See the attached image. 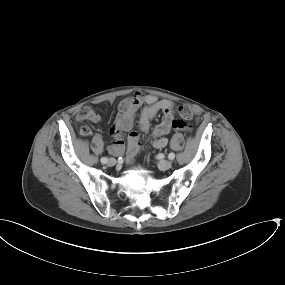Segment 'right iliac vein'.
<instances>
[{"mask_svg":"<svg viewBox=\"0 0 285 285\" xmlns=\"http://www.w3.org/2000/svg\"><path fill=\"white\" fill-rule=\"evenodd\" d=\"M116 163H117V161H116V159H114V158H110V159L108 160V165H109V166H114Z\"/></svg>","mask_w":285,"mask_h":285,"instance_id":"63e3f726","label":"right iliac vein"}]
</instances>
